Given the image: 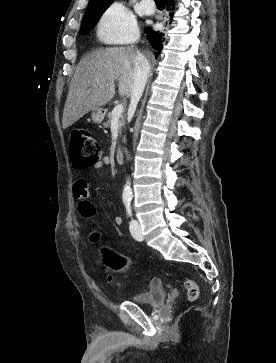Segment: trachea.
Returning a JSON list of instances; mask_svg holds the SVG:
<instances>
[{"label": "trachea", "instance_id": "obj_1", "mask_svg": "<svg viewBox=\"0 0 276 363\" xmlns=\"http://www.w3.org/2000/svg\"><path fill=\"white\" fill-rule=\"evenodd\" d=\"M156 5L164 6L166 5V0H155Z\"/></svg>", "mask_w": 276, "mask_h": 363}]
</instances>
